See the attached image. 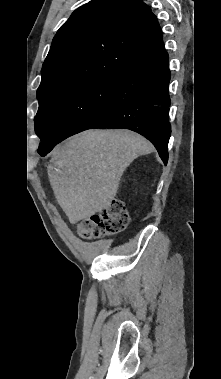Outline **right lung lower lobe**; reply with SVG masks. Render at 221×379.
Here are the masks:
<instances>
[{
    "label": "right lung lower lobe",
    "mask_w": 221,
    "mask_h": 379,
    "mask_svg": "<svg viewBox=\"0 0 221 379\" xmlns=\"http://www.w3.org/2000/svg\"><path fill=\"white\" fill-rule=\"evenodd\" d=\"M169 81L166 51L126 70L120 75L109 108L92 129L123 128L138 132L153 143L166 165L171 134ZM63 139H57L46 149H38V153L45 156Z\"/></svg>",
    "instance_id": "obj_1"
}]
</instances>
